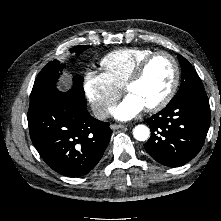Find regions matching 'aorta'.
<instances>
[{
    "instance_id": "762f6f07",
    "label": "aorta",
    "mask_w": 221,
    "mask_h": 221,
    "mask_svg": "<svg viewBox=\"0 0 221 221\" xmlns=\"http://www.w3.org/2000/svg\"><path fill=\"white\" fill-rule=\"evenodd\" d=\"M133 136L138 141H145L150 137V130L145 125H137L133 129Z\"/></svg>"
}]
</instances>
